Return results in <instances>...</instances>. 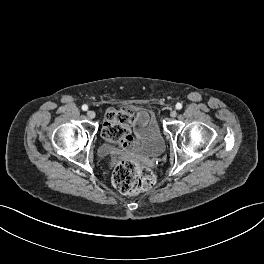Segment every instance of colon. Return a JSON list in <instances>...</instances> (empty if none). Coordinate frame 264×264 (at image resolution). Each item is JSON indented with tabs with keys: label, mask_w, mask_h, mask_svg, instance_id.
<instances>
[{
	"label": "colon",
	"mask_w": 264,
	"mask_h": 264,
	"mask_svg": "<svg viewBox=\"0 0 264 264\" xmlns=\"http://www.w3.org/2000/svg\"><path fill=\"white\" fill-rule=\"evenodd\" d=\"M106 119L108 123L103 126V136L110 141H120L130 129L133 114L125 108L110 110L106 114ZM112 181L120 192L133 194L152 188L155 177L150 169L139 162L123 159L115 165Z\"/></svg>",
	"instance_id": "colon-1"
}]
</instances>
